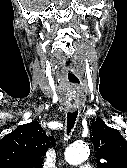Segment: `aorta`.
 Instances as JSON below:
<instances>
[{"mask_svg": "<svg viewBox=\"0 0 127 168\" xmlns=\"http://www.w3.org/2000/svg\"><path fill=\"white\" fill-rule=\"evenodd\" d=\"M90 155L89 147L84 143H74L65 152L69 164L77 165L87 160Z\"/></svg>", "mask_w": 127, "mask_h": 168, "instance_id": "obj_1", "label": "aorta"}]
</instances>
